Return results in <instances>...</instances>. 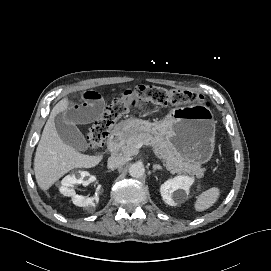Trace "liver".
<instances>
[{
	"label": "liver",
	"instance_id": "1",
	"mask_svg": "<svg viewBox=\"0 0 271 271\" xmlns=\"http://www.w3.org/2000/svg\"><path fill=\"white\" fill-rule=\"evenodd\" d=\"M68 102L67 98L59 101L52 109L45 124L34 158V172L38 186L48 190L57 180L74 168H92L103 157L72 151L63 144L56 130L55 118L60 107Z\"/></svg>",
	"mask_w": 271,
	"mask_h": 271
}]
</instances>
